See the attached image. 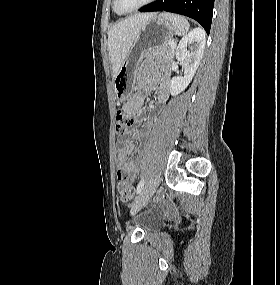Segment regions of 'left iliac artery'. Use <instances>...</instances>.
I'll use <instances>...</instances> for the list:
<instances>
[{"label": "left iliac artery", "mask_w": 280, "mask_h": 285, "mask_svg": "<svg viewBox=\"0 0 280 285\" xmlns=\"http://www.w3.org/2000/svg\"><path fill=\"white\" fill-rule=\"evenodd\" d=\"M144 183H145L144 178H142L137 186V190H136L137 194H139L142 191L144 187Z\"/></svg>", "instance_id": "obj_1"}]
</instances>
